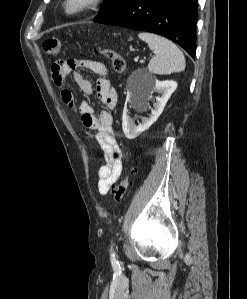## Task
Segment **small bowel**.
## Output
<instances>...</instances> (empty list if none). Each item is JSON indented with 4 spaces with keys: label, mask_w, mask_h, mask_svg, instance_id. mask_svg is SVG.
<instances>
[{
    "label": "small bowel",
    "mask_w": 247,
    "mask_h": 299,
    "mask_svg": "<svg viewBox=\"0 0 247 299\" xmlns=\"http://www.w3.org/2000/svg\"><path fill=\"white\" fill-rule=\"evenodd\" d=\"M88 69L98 75L96 87L85 79L80 69ZM54 83L62 87L65 78L71 75L81 90L87 94L96 93L97 98L105 105L98 116L92 106L87 102L76 104L73 93L66 88L61 90V99L70 109H77L83 125L96 132V139L101 145L104 163L98 171V191L107 195L116 184L122 173L121 149L117 144L112 128V110L117 103V92L106 78L108 69L106 65L94 60H65L56 61L51 67Z\"/></svg>",
    "instance_id": "c3829d8e"
}]
</instances>
